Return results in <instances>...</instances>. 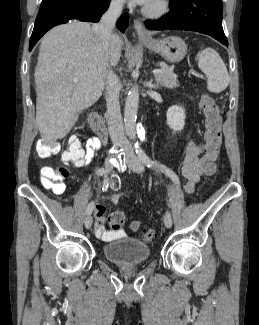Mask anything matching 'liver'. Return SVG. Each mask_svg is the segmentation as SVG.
I'll use <instances>...</instances> for the list:
<instances>
[{
	"label": "liver",
	"instance_id": "liver-1",
	"mask_svg": "<svg viewBox=\"0 0 259 325\" xmlns=\"http://www.w3.org/2000/svg\"><path fill=\"white\" fill-rule=\"evenodd\" d=\"M122 45L119 35L112 34L109 66L117 65ZM102 52L100 37L87 22L70 21L43 37L34 76L36 121L44 143L63 139L79 114L102 95L107 75Z\"/></svg>",
	"mask_w": 259,
	"mask_h": 325
}]
</instances>
